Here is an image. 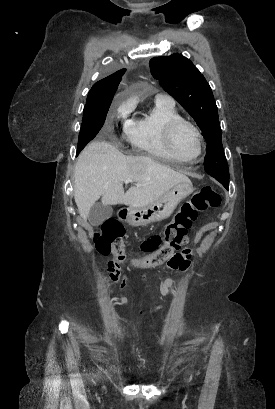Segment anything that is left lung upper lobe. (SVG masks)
Here are the masks:
<instances>
[{"mask_svg":"<svg viewBox=\"0 0 275 409\" xmlns=\"http://www.w3.org/2000/svg\"><path fill=\"white\" fill-rule=\"evenodd\" d=\"M151 74L160 86L173 96L194 118L207 141L205 171L217 178L229 180L218 110L209 84L193 63L181 54L154 57Z\"/></svg>","mask_w":275,"mask_h":409,"instance_id":"1","label":"left lung upper lobe"}]
</instances>
